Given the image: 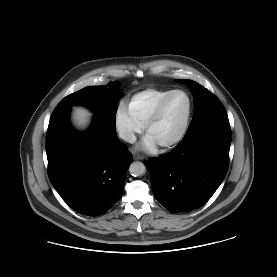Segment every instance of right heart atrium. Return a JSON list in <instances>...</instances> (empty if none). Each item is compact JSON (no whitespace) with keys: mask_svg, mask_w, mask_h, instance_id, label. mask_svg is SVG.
Masks as SVG:
<instances>
[{"mask_svg":"<svg viewBox=\"0 0 277 277\" xmlns=\"http://www.w3.org/2000/svg\"><path fill=\"white\" fill-rule=\"evenodd\" d=\"M114 125L119 137L128 143H133L143 130V126L133 118L124 103H120L115 110Z\"/></svg>","mask_w":277,"mask_h":277,"instance_id":"right-heart-atrium-1","label":"right heart atrium"}]
</instances>
